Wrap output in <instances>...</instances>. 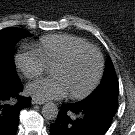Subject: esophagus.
Here are the masks:
<instances>
[{
	"label": "esophagus",
	"instance_id": "34e87169",
	"mask_svg": "<svg viewBox=\"0 0 135 135\" xmlns=\"http://www.w3.org/2000/svg\"><path fill=\"white\" fill-rule=\"evenodd\" d=\"M32 104H39V105H42V104H45V101H40L36 98H32Z\"/></svg>",
	"mask_w": 135,
	"mask_h": 135
}]
</instances>
